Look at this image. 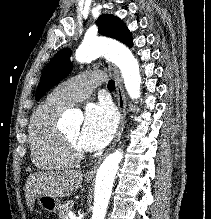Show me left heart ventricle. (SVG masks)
I'll list each match as a JSON object with an SVG mask.
<instances>
[{"mask_svg":"<svg viewBox=\"0 0 211 219\" xmlns=\"http://www.w3.org/2000/svg\"><path fill=\"white\" fill-rule=\"evenodd\" d=\"M65 133L75 142L80 146L79 143V137L81 133V127L80 125L72 126L68 128Z\"/></svg>","mask_w":211,"mask_h":219,"instance_id":"1","label":"left heart ventricle"}]
</instances>
